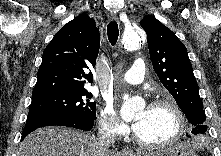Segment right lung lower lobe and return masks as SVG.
I'll return each instance as SVG.
<instances>
[{
  "label": "right lung lower lobe",
  "mask_w": 221,
  "mask_h": 156,
  "mask_svg": "<svg viewBox=\"0 0 221 156\" xmlns=\"http://www.w3.org/2000/svg\"><path fill=\"white\" fill-rule=\"evenodd\" d=\"M61 125L73 127L81 130H91L94 125V120H45V121H31L27 122L21 140H23L29 133L34 131L37 128L45 126Z\"/></svg>",
  "instance_id": "right-lung-lower-lobe-1"
}]
</instances>
